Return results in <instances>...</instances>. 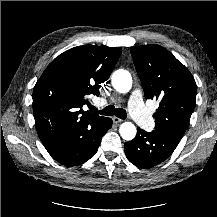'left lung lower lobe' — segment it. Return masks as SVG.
<instances>
[{"instance_id": "0a47b994", "label": "left lung lower lobe", "mask_w": 217, "mask_h": 217, "mask_svg": "<svg viewBox=\"0 0 217 217\" xmlns=\"http://www.w3.org/2000/svg\"><path fill=\"white\" fill-rule=\"evenodd\" d=\"M179 139L159 130L146 132L137 128L136 137L125 143L127 159L137 167L146 169L166 160L175 150Z\"/></svg>"}]
</instances>
